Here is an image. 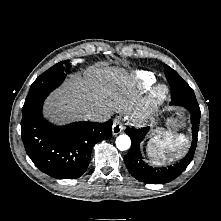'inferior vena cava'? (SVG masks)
<instances>
[{
  "mask_svg": "<svg viewBox=\"0 0 221 221\" xmlns=\"http://www.w3.org/2000/svg\"><path fill=\"white\" fill-rule=\"evenodd\" d=\"M88 117H89V119H90V118H98L99 115H98L97 113H95V112H90V113L88 114Z\"/></svg>",
  "mask_w": 221,
  "mask_h": 221,
  "instance_id": "obj_1",
  "label": "inferior vena cava"
}]
</instances>
